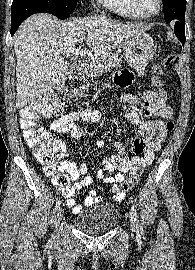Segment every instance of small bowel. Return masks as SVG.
<instances>
[{
  "instance_id": "1",
  "label": "small bowel",
  "mask_w": 195,
  "mask_h": 270,
  "mask_svg": "<svg viewBox=\"0 0 195 270\" xmlns=\"http://www.w3.org/2000/svg\"><path fill=\"white\" fill-rule=\"evenodd\" d=\"M133 81V75L130 71L124 70L116 73L115 83L120 87H126ZM150 91H146L143 95L124 94L121 96L117 107L114 109L110 121L114 122L116 115L121 108L133 104L139 106L142 111L128 110L125 116L139 125V136L133 140L131 144L132 156L125 152L122 144L116 143L117 153L109 155L103 161V169H100L96 177L85 176L87 166L85 163L76 165L72 161H63L62 167L69 174L70 178L75 181L73 186L62 189V193L66 198V203L72 208L74 214H79L82 206L75 203L74 195L83 187L92 184L95 179L102 180L105 184L112 185L114 192L113 199L122 201L124 192L120 191V183L124 181L125 175H135L138 170L150 165L155 157V153L161 148V144L166 137L165 124L161 120L153 119L152 116H158L160 119H169L173 115V110L165 103L155 105L148 101ZM101 119V113L97 110L83 108L74 110L62 115L54 120L49 129L52 133L58 135L70 134L75 139H82L86 130L78 126L79 121L85 122L87 125L98 122ZM104 145V141L97 143L98 147ZM104 171L113 172L111 176H105ZM84 177V178H82ZM102 197L95 190L89 191L84 200V205L89 207L94 204L101 203Z\"/></svg>"
}]
</instances>
